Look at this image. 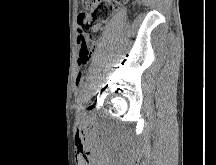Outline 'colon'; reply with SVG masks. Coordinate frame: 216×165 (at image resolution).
Instances as JSON below:
<instances>
[{
    "mask_svg": "<svg viewBox=\"0 0 216 165\" xmlns=\"http://www.w3.org/2000/svg\"><path fill=\"white\" fill-rule=\"evenodd\" d=\"M119 0H81L78 15L79 62L85 64L91 57L94 43L100 38L107 21Z\"/></svg>",
    "mask_w": 216,
    "mask_h": 165,
    "instance_id": "colon-1",
    "label": "colon"
}]
</instances>
